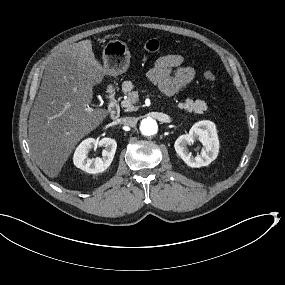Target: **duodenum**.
Returning <instances> with one entry per match:
<instances>
[{"label": "duodenum", "instance_id": "410a0bca", "mask_svg": "<svg viewBox=\"0 0 285 285\" xmlns=\"http://www.w3.org/2000/svg\"><path fill=\"white\" fill-rule=\"evenodd\" d=\"M108 95H109V99H110L109 105H108V111H109L110 117L113 120H115L119 117L120 109H119V106L115 100L114 89H109Z\"/></svg>", "mask_w": 285, "mask_h": 285}]
</instances>
